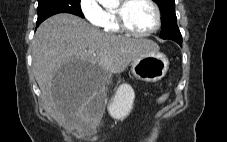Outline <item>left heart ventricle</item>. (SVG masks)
Here are the masks:
<instances>
[{"label":"left heart ventricle","mask_w":227,"mask_h":142,"mask_svg":"<svg viewBox=\"0 0 227 142\" xmlns=\"http://www.w3.org/2000/svg\"><path fill=\"white\" fill-rule=\"evenodd\" d=\"M126 19L133 30L147 32L155 26L156 14L146 0H133L126 9Z\"/></svg>","instance_id":"b2bd125f"}]
</instances>
